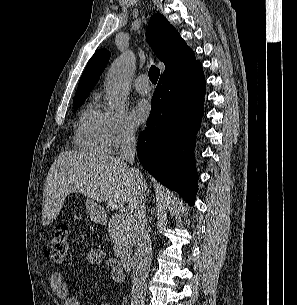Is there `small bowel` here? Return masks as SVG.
Returning <instances> with one entry per match:
<instances>
[{
	"label": "small bowel",
	"mask_w": 297,
	"mask_h": 305,
	"mask_svg": "<svg viewBox=\"0 0 297 305\" xmlns=\"http://www.w3.org/2000/svg\"><path fill=\"white\" fill-rule=\"evenodd\" d=\"M87 263L90 265L105 263L112 279L115 282L119 283L123 280L124 273L122 268L114 259L107 257L103 250H90L87 254ZM50 285L56 295L64 298V305H80V301L75 296L69 294V283L63 273H53L51 276Z\"/></svg>",
	"instance_id": "c3829d8e"
}]
</instances>
